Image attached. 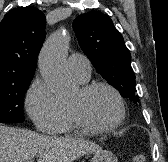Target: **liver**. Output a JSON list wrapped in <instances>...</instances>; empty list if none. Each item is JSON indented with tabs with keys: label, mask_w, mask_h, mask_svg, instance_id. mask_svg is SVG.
I'll list each match as a JSON object with an SVG mask.
<instances>
[{
	"label": "liver",
	"mask_w": 168,
	"mask_h": 162,
	"mask_svg": "<svg viewBox=\"0 0 168 162\" xmlns=\"http://www.w3.org/2000/svg\"><path fill=\"white\" fill-rule=\"evenodd\" d=\"M101 151L95 143L72 137H55L0 125V162H72Z\"/></svg>",
	"instance_id": "obj_1"
}]
</instances>
